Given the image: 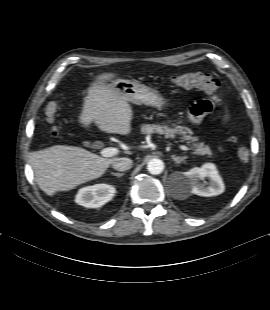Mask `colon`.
<instances>
[{
	"label": "colon",
	"instance_id": "1",
	"mask_svg": "<svg viewBox=\"0 0 270 310\" xmlns=\"http://www.w3.org/2000/svg\"><path fill=\"white\" fill-rule=\"evenodd\" d=\"M171 82L174 86L180 88H199L205 93L212 96L216 102H220L223 88L220 82L212 75L203 72H189L173 76ZM200 114H207L212 110V104L207 100H199L194 105ZM59 105L56 102H50L45 111V119L51 124V130L54 136H59L60 130L55 125V117L58 112ZM236 146L237 155L240 161L247 162L250 157L248 136L239 132L232 137Z\"/></svg>",
	"mask_w": 270,
	"mask_h": 310
}]
</instances>
